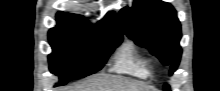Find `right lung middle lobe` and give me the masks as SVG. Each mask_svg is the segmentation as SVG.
<instances>
[{"label": "right lung middle lobe", "mask_w": 220, "mask_h": 91, "mask_svg": "<svg viewBox=\"0 0 220 91\" xmlns=\"http://www.w3.org/2000/svg\"><path fill=\"white\" fill-rule=\"evenodd\" d=\"M48 36L53 49L50 71L60 77L62 85L99 71L122 42L120 33L82 27L53 28Z\"/></svg>", "instance_id": "dd1d6c3e"}]
</instances>
